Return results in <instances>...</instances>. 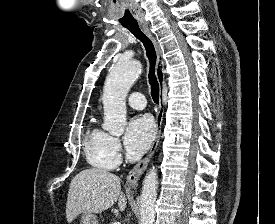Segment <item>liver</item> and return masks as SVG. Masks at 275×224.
<instances>
[{"label":"liver","mask_w":275,"mask_h":224,"mask_svg":"<svg viewBox=\"0 0 275 224\" xmlns=\"http://www.w3.org/2000/svg\"><path fill=\"white\" fill-rule=\"evenodd\" d=\"M117 201L119 210L124 211L127 200L118 176L98 168L83 170L69 186L67 221L71 223L81 213H102Z\"/></svg>","instance_id":"obj_1"}]
</instances>
